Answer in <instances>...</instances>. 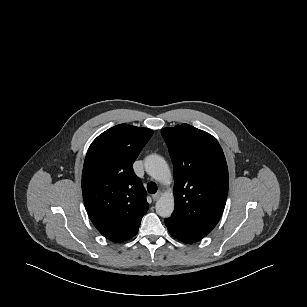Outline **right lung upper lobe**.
Masks as SVG:
<instances>
[{
    "mask_svg": "<svg viewBox=\"0 0 307 307\" xmlns=\"http://www.w3.org/2000/svg\"><path fill=\"white\" fill-rule=\"evenodd\" d=\"M153 135L148 128L116 125L90 145L82 172V192L97 230L114 242L131 239L147 212L146 191L132 165Z\"/></svg>",
    "mask_w": 307,
    "mask_h": 307,
    "instance_id": "obj_1",
    "label": "right lung upper lobe"
}]
</instances>
